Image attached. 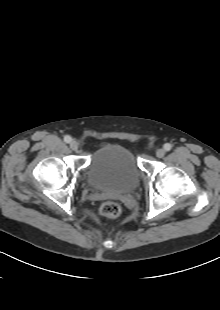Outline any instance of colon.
<instances>
[{
    "instance_id": "1",
    "label": "colon",
    "mask_w": 220,
    "mask_h": 310,
    "mask_svg": "<svg viewBox=\"0 0 220 310\" xmlns=\"http://www.w3.org/2000/svg\"><path fill=\"white\" fill-rule=\"evenodd\" d=\"M99 212L104 217L114 218L119 216L121 208L115 202H106L101 205Z\"/></svg>"
}]
</instances>
